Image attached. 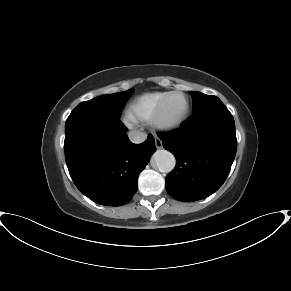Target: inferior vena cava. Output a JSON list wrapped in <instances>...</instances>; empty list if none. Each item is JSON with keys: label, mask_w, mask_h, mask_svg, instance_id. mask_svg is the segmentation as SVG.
Instances as JSON below:
<instances>
[{"label": "inferior vena cava", "mask_w": 291, "mask_h": 291, "mask_svg": "<svg viewBox=\"0 0 291 291\" xmlns=\"http://www.w3.org/2000/svg\"><path fill=\"white\" fill-rule=\"evenodd\" d=\"M128 137L132 143L139 144L146 140L147 134L141 131L134 130L128 133Z\"/></svg>", "instance_id": "inferior-vena-cava-1"}]
</instances>
